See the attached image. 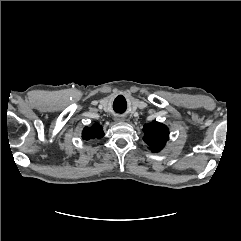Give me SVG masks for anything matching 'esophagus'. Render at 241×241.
<instances>
[{
	"label": "esophagus",
	"instance_id": "esophagus-1",
	"mask_svg": "<svg viewBox=\"0 0 241 241\" xmlns=\"http://www.w3.org/2000/svg\"><path fill=\"white\" fill-rule=\"evenodd\" d=\"M117 120H122V118H118Z\"/></svg>",
	"mask_w": 241,
	"mask_h": 241
}]
</instances>
